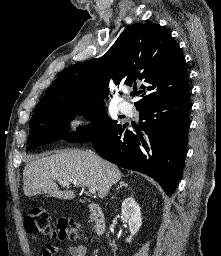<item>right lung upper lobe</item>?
<instances>
[{
    "mask_svg": "<svg viewBox=\"0 0 221 256\" xmlns=\"http://www.w3.org/2000/svg\"><path fill=\"white\" fill-rule=\"evenodd\" d=\"M180 47L170 33L158 24H134L128 27L102 57L66 68L53 82L36 110L57 100L104 103L110 77L136 88L142 81L144 103L190 92L189 77ZM35 110V111H36Z\"/></svg>",
    "mask_w": 221,
    "mask_h": 256,
    "instance_id": "obj_1",
    "label": "right lung upper lobe"
}]
</instances>
